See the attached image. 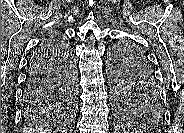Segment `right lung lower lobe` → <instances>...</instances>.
Returning a JSON list of instances; mask_svg holds the SVG:
<instances>
[{
    "mask_svg": "<svg viewBox=\"0 0 184 133\" xmlns=\"http://www.w3.org/2000/svg\"><path fill=\"white\" fill-rule=\"evenodd\" d=\"M63 47L46 37L29 60L23 100H46L61 75ZM70 55H72L69 52Z\"/></svg>",
    "mask_w": 184,
    "mask_h": 133,
    "instance_id": "1",
    "label": "right lung lower lobe"
}]
</instances>
